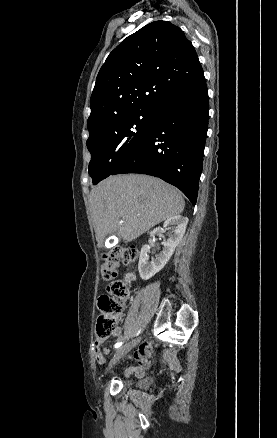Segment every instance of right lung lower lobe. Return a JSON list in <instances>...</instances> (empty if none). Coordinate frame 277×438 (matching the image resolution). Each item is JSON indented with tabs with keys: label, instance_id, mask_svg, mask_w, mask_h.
<instances>
[{
	"label": "right lung lower lobe",
	"instance_id": "obj_1",
	"mask_svg": "<svg viewBox=\"0 0 277 438\" xmlns=\"http://www.w3.org/2000/svg\"><path fill=\"white\" fill-rule=\"evenodd\" d=\"M208 100L204 75L161 99L144 140L113 175L159 177L179 188L195 205L208 129Z\"/></svg>",
	"mask_w": 277,
	"mask_h": 438
}]
</instances>
